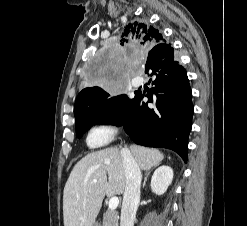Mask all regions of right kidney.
<instances>
[{
  "label": "right kidney",
  "mask_w": 247,
  "mask_h": 226,
  "mask_svg": "<svg viewBox=\"0 0 247 226\" xmlns=\"http://www.w3.org/2000/svg\"><path fill=\"white\" fill-rule=\"evenodd\" d=\"M173 180V170L171 167L163 165L155 170L151 179V189L157 195L166 192Z\"/></svg>",
  "instance_id": "1"
}]
</instances>
